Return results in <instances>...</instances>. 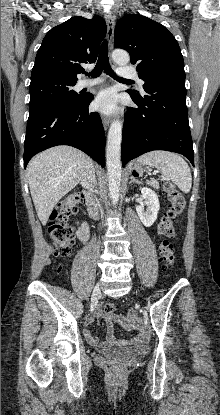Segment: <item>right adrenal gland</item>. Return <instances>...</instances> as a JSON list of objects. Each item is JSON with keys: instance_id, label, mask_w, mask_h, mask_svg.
<instances>
[{"instance_id": "obj_1", "label": "right adrenal gland", "mask_w": 220, "mask_h": 415, "mask_svg": "<svg viewBox=\"0 0 220 415\" xmlns=\"http://www.w3.org/2000/svg\"><path fill=\"white\" fill-rule=\"evenodd\" d=\"M92 177L95 179V173H94V171H93V173H92Z\"/></svg>"}]
</instances>
